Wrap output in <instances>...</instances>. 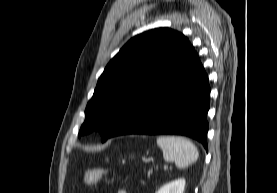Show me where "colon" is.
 <instances>
[{"label": "colon", "mask_w": 277, "mask_h": 193, "mask_svg": "<svg viewBox=\"0 0 277 193\" xmlns=\"http://www.w3.org/2000/svg\"><path fill=\"white\" fill-rule=\"evenodd\" d=\"M107 172L103 169H90L84 172L83 180L86 184L98 182L106 176Z\"/></svg>", "instance_id": "1"}]
</instances>
